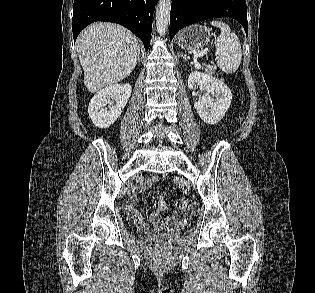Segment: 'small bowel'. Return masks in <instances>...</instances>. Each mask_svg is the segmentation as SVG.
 I'll return each mask as SVG.
<instances>
[{"label":"small bowel","mask_w":315,"mask_h":293,"mask_svg":"<svg viewBox=\"0 0 315 293\" xmlns=\"http://www.w3.org/2000/svg\"><path fill=\"white\" fill-rule=\"evenodd\" d=\"M157 181V176H151L149 177L145 182H143L137 189V192H143L145 190H147L149 187H151V185ZM136 204H137V197L131 196L125 205L126 211L128 212L129 216L135 220L138 223H142L143 222V218L142 215L140 214V212L136 209ZM168 209V206L164 200L163 197H159L158 198V211L155 212L152 217L151 220L155 225H158L162 222V218L160 216V212L162 211H166ZM186 213L185 211H174L173 213V217L168 218L167 221L171 222L174 220H182L183 218H185Z\"/></svg>","instance_id":"obj_1"}]
</instances>
